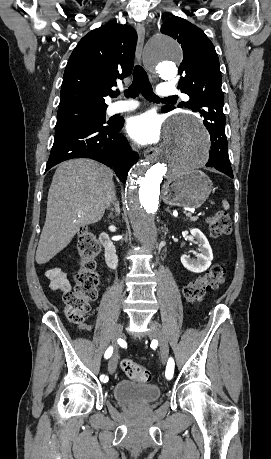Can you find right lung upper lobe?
<instances>
[{
  "label": "right lung upper lobe",
  "instance_id": "cb5924a9",
  "mask_svg": "<svg viewBox=\"0 0 271 459\" xmlns=\"http://www.w3.org/2000/svg\"><path fill=\"white\" fill-rule=\"evenodd\" d=\"M136 43L135 29L115 22L84 36L66 65L58 111L107 106L104 97L114 93L116 80L131 74Z\"/></svg>",
  "mask_w": 271,
  "mask_h": 459
}]
</instances>
